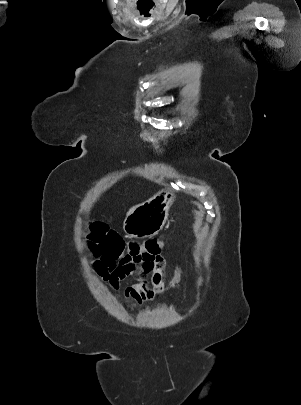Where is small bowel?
Here are the masks:
<instances>
[{"mask_svg":"<svg viewBox=\"0 0 301 405\" xmlns=\"http://www.w3.org/2000/svg\"><path fill=\"white\" fill-rule=\"evenodd\" d=\"M161 251L156 255L133 257L124 255L113 266L103 264L100 259L93 262L95 269L105 282L115 291L120 289V283L127 277L133 276L136 282L127 287L123 295L138 304L153 301L165 292L177 290L184 280V273L178 267L169 284L165 285L164 242L161 240Z\"/></svg>","mask_w":301,"mask_h":405,"instance_id":"c3829d8e","label":"small bowel"}]
</instances>
